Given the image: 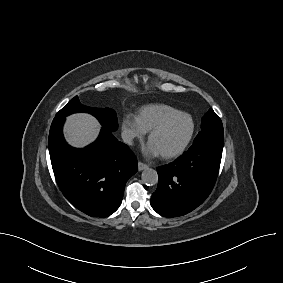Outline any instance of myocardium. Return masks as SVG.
<instances>
[{"mask_svg": "<svg viewBox=\"0 0 283 283\" xmlns=\"http://www.w3.org/2000/svg\"><path fill=\"white\" fill-rule=\"evenodd\" d=\"M178 116H184V117H187L189 119L190 125H191L190 131H189L186 139L183 141V143L178 148H176L173 151L161 154V156L164 159L176 158V157L180 156L187 149L188 145L190 144V142H191V140L194 136L195 128H196L195 121H194L193 117L187 112L177 111V112L171 113V114L163 117L149 131L148 139L150 140L152 138V136L155 133H157L159 130H161L170 120H172L173 118L178 117Z\"/></svg>", "mask_w": 283, "mask_h": 283, "instance_id": "1", "label": "myocardium"}]
</instances>
